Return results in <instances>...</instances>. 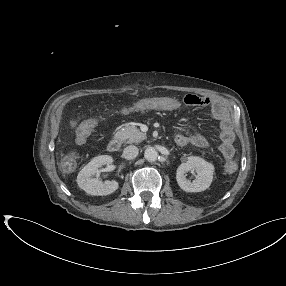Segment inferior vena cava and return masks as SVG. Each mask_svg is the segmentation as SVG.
<instances>
[{
	"instance_id": "602c4592",
	"label": "inferior vena cava",
	"mask_w": 286,
	"mask_h": 286,
	"mask_svg": "<svg viewBox=\"0 0 286 286\" xmlns=\"http://www.w3.org/2000/svg\"><path fill=\"white\" fill-rule=\"evenodd\" d=\"M138 148L134 145H129L123 150V157L127 160L134 159L138 155Z\"/></svg>"
}]
</instances>
